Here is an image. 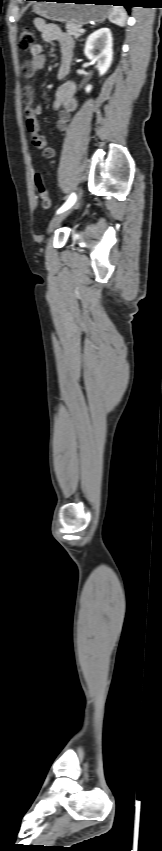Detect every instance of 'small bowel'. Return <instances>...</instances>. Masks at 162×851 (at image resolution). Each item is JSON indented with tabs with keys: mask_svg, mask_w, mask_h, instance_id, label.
<instances>
[{
	"mask_svg": "<svg viewBox=\"0 0 162 851\" xmlns=\"http://www.w3.org/2000/svg\"><path fill=\"white\" fill-rule=\"evenodd\" d=\"M36 28L41 32L42 38L46 42H56L61 52V63L58 71V78L62 79L69 71L73 40L71 36L61 30V28L52 23H47L44 19L35 21ZM31 60L23 64V74L27 80H30L34 74L43 68L45 64V56L43 48L40 44H35L31 49ZM76 85L72 81L62 83L56 90L55 99L52 107L59 111L56 127L59 131H66L71 120L72 113L77 108L76 100ZM23 100L25 104V123L28 132L31 134L34 147L41 152L45 158H53L55 149L49 144L44 135L40 133L39 116L42 114V108L34 104V90L30 84H26L23 90Z\"/></svg>",
	"mask_w": 162,
	"mask_h": 851,
	"instance_id": "1",
	"label": "small bowel"
}]
</instances>
